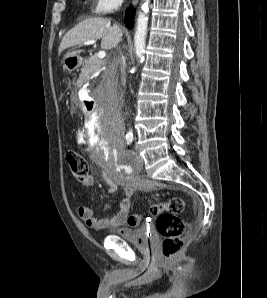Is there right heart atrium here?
<instances>
[{
	"label": "right heart atrium",
	"mask_w": 267,
	"mask_h": 298,
	"mask_svg": "<svg viewBox=\"0 0 267 298\" xmlns=\"http://www.w3.org/2000/svg\"><path fill=\"white\" fill-rule=\"evenodd\" d=\"M123 0H95V11L98 14H106L118 8Z\"/></svg>",
	"instance_id": "d8ad5b80"
}]
</instances>
